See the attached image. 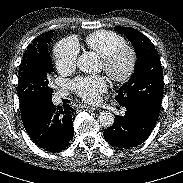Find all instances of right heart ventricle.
<instances>
[{"label":"right heart ventricle","instance_id":"right-heart-ventricle-1","mask_svg":"<svg viewBox=\"0 0 183 183\" xmlns=\"http://www.w3.org/2000/svg\"><path fill=\"white\" fill-rule=\"evenodd\" d=\"M85 43L91 50L103 58L115 49L124 46L126 41L115 32L99 30L87 35Z\"/></svg>","mask_w":183,"mask_h":183}]
</instances>
